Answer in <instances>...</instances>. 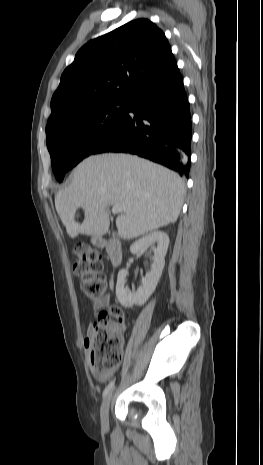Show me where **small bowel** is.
I'll list each match as a JSON object with an SVG mask.
<instances>
[{"instance_id":"small-bowel-1","label":"small bowel","mask_w":263,"mask_h":465,"mask_svg":"<svg viewBox=\"0 0 263 465\" xmlns=\"http://www.w3.org/2000/svg\"><path fill=\"white\" fill-rule=\"evenodd\" d=\"M109 301H110V298H109V296L106 295V296L101 297L100 299L94 300L93 301V306H94L95 309H100V308L108 305ZM90 331H91V327L88 330V335H89ZM85 347L89 348L88 345L86 344V342H85ZM91 371L94 374V376L100 381H105L110 376V372H104V373L98 372L93 368L92 365H91Z\"/></svg>"}]
</instances>
